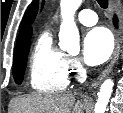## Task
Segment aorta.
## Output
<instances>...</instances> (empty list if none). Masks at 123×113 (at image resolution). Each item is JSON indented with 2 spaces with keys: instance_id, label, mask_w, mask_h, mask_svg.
I'll return each mask as SVG.
<instances>
[{
  "instance_id": "762f6f07",
  "label": "aorta",
  "mask_w": 123,
  "mask_h": 113,
  "mask_svg": "<svg viewBox=\"0 0 123 113\" xmlns=\"http://www.w3.org/2000/svg\"><path fill=\"white\" fill-rule=\"evenodd\" d=\"M81 3L82 0H61L60 2L62 22L59 31V46L61 50L72 55H77L80 51V37L74 22V15ZM113 86L114 82L111 79L102 83L95 104V113H105Z\"/></svg>"
}]
</instances>
